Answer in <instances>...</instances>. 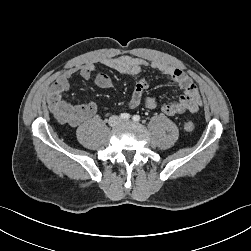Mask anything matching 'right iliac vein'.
Instances as JSON below:
<instances>
[{"instance_id":"63e3f726","label":"right iliac vein","mask_w":251,"mask_h":251,"mask_svg":"<svg viewBox=\"0 0 251 251\" xmlns=\"http://www.w3.org/2000/svg\"><path fill=\"white\" fill-rule=\"evenodd\" d=\"M120 123V119L116 116H113L109 119V125L114 127L117 126Z\"/></svg>"}]
</instances>
